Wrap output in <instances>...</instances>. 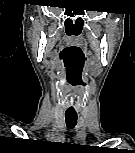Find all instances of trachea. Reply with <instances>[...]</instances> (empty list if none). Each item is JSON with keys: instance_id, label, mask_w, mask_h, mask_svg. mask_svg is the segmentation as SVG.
<instances>
[{"instance_id": "3493384b", "label": "trachea", "mask_w": 135, "mask_h": 153, "mask_svg": "<svg viewBox=\"0 0 135 153\" xmlns=\"http://www.w3.org/2000/svg\"><path fill=\"white\" fill-rule=\"evenodd\" d=\"M65 120H66L67 127L69 129H73L77 123V114L66 112L65 113Z\"/></svg>"}]
</instances>
